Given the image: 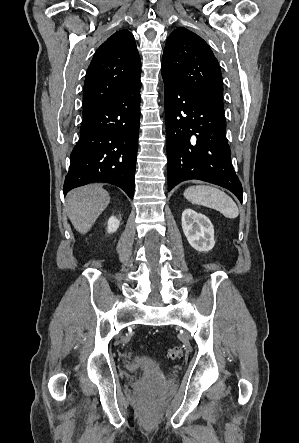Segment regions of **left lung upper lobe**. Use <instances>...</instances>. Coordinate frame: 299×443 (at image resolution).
<instances>
[{
    "label": "left lung upper lobe",
    "mask_w": 299,
    "mask_h": 443,
    "mask_svg": "<svg viewBox=\"0 0 299 443\" xmlns=\"http://www.w3.org/2000/svg\"><path fill=\"white\" fill-rule=\"evenodd\" d=\"M161 72L224 112L220 67L210 47L186 28L175 29L167 39Z\"/></svg>",
    "instance_id": "5c2ea615"
}]
</instances>
